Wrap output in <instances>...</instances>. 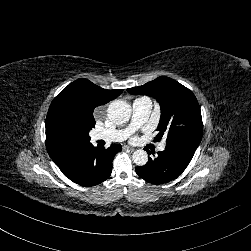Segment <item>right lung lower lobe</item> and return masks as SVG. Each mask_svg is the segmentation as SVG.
Here are the masks:
<instances>
[{
	"instance_id": "right-lung-lower-lobe-1",
	"label": "right lung lower lobe",
	"mask_w": 251,
	"mask_h": 251,
	"mask_svg": "<svg viewBox=\"0 0 251 251\" xmlns=\"http://www.w3.org/2000/svg\"><path fill=\"white\" fill-rule=\"evenodd\" d=\"M121 145L94 147L91 143L62 153L55 162L61 172L74 183L95 186L109 178L114 156Z\"/></svg>"
}]
</instances>
